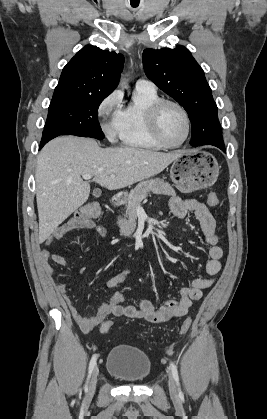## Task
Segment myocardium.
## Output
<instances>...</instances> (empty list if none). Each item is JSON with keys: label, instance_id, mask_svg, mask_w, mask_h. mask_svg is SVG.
<instances>
[{"label": "myocardium", "instance_id": "myocardium-1", "mask_svg": "<svg viewBox=\"0 0 267 419\" xmlns=\"http://www.w3.org/2000/svg\"><path fill=\"white\" fill-rule=\"evenodd\" d=\"M166 105H172L176 107L182 113L185 120V125H186L185 136L180 142L175 143V144L167 142L163 138L160 132L159 116H160L161 110ZM147 124H148V128L152 137L155 139V141L158 144H160L162 147H165V148H178L182 146L189 138V135L191 132V120H190V116L187 110L182 104L171 99H159L158 101H156L149 107L148 112H147Z\"/></svg>", "mask_w": 267, "mask_h": 419}]
</instances>
